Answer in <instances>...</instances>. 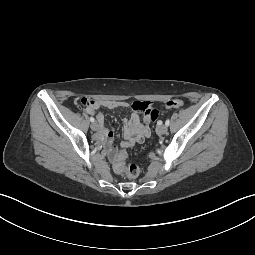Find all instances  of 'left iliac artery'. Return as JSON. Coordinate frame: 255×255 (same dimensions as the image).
Wrapping results in <instances>:
<instances>
[{"mask_svg":"<svg viewBox=\"0 0 255 255\" xmlns=\"http://www.w3.org/2000/svg\"><path fill=\"white\" fill-rule=\"evenodd\" d=\"M169 124H170V120L167 119L166 122H165V125H166V126H169Z\"/></svg>","mask_w":255,"mask_h":255,"instance_id":"44dca946","label":"left iliac artery"}]
</instances>
